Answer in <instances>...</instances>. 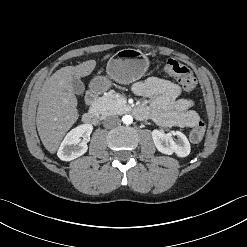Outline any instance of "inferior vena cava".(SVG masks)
I'll list each match as a JSON object with an SVG mask.
<instances>
[{
    "label": "inferior vena cava",
    "mask_w": 247,
    "mask_h": 247,
    "mask_svg": "<svg viewBox=\"0 0 247 247\" xmlns=\"http://www.w3.org/2000/svg\"><path fill=\"white\" fill-rule=\"evenodd\" d=\"M120 123V119L118 116H108L103 120V125L105 127H112Z\"/></svg>",
    "instance_id": "602c4592"
}]
</instances>
